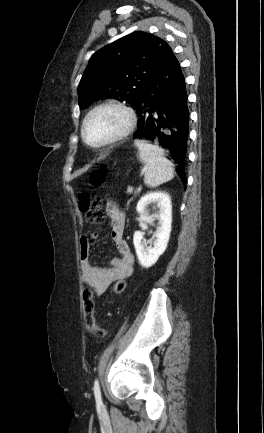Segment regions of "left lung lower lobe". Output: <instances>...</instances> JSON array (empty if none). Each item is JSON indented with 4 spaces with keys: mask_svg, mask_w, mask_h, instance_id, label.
<instances>
[{
    "mask_svg": "<svg viewBox=\"0 0 264 433\" xmlns=\"http://www.w3.org/2000/svg\"><path fill=\"white\" fill-rule=\"evenodd\" d=\"M135 109L139 117L136 138L155 141L167 149L186 185L185 158L189 110L185 78L173 52L140 94Z\"/></svg>",
    "mask_w": 264,
    "mask_h": 433,
    "instance_id": "obj_1",
    "label": "left lung lower lobe"
}]
</instances>
